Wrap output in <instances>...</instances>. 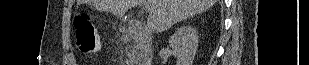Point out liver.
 Here are the masks:
<instances>
[{
    "label": "liver",
    "instance_id": "obj_1",
    "mask_svg": "<svg viewBox=\"0 0 309 65\" xmlns=\"http://www.w3.org/2000/svg\"><path fill=\"white\" fill-rule=\"evenodd\" d=\"M149 6L147 25L154 32H163L175 23L210 9L215 0H95L100 11L122 17L131 7L142 4Z\"/></svg>",
    "mask_w": 309,
    "mask_h": 65
}]
</instances>
